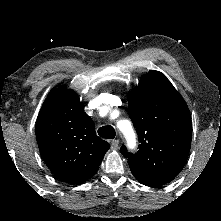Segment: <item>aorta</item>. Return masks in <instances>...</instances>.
<instances>
[{
    "mask_svg": "<svg viewBox=\"0 0 221 221\" xmlns=\"http://www.w3.org/2000/svg\"><path fill=\"white\" fill-rule=\"evenodd\" d=\"M124 122V121H123ZM126 133H132V129L131 127L129 126L126 130H125Z\"/></svg>",
    "mask_w": 221,
    "mask_h": 221,
    "instance_id": "aorta-1",
    "label": "aorta"
}]
</instances>
